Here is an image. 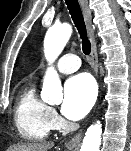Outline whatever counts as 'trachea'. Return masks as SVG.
I'll use <instances>...</instances> for the list:
<instances>
[{
    "mask_svg": "<svg viewBox=\"0 0 131 151\" xmlns=\"http://www.w3.org/2000/svg\"><path fill=\"white\" fill-rule=\"evenodd\" d=\"M65 2L71 14V18L80 34V38L82 39L83 53L89 55L91 52V43L87 37L86 26L78 0H65Z\"/></svg>",
    "mask_w": 131,
    "mask_h": 151,
    "instance_id": "1",
    "label": "trachea"
}]
</instances>
